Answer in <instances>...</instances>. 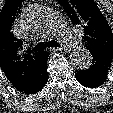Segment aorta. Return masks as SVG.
Instances as JSON below:
<instances>
[{
    "label": "aorta",
    "mask_w": 113,
    "mask_h": 113,
    "mask_svg": "<svg viewBox=\"0 0 113 113\" xmlns=\"http://www.w3.org/2000/svg\"><path fill=\"white\" fill-rule=\"evenodd\" d=\"M72 65L80 70L88 69L92 64V56L86 49L75 50L70 55Z\"/></svg>",
    "instance_id": "obj_1"
}]
</instances>
